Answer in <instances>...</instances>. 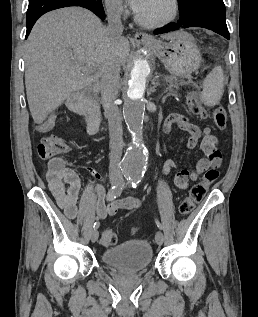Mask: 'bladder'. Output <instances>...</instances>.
Returning <instances> with one entry per match:
<instances>
[{"label":"bladder","instance_id":"1","mask_svg":"<svg viewBox=\"0 0 258 317\" xmlns=\"http://www.w3.org/2000/svg\"><path fill=\"white\" fill-rule=\"evenodd\" d=\"M152 247L145 240H131L106 249L102 261L113 268L124 271L146 269L152 260Z\"/></svg>","mask_w":258,"mask_h":317}]
</instances>
